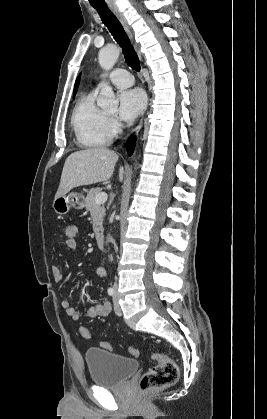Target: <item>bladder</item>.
I'll return each mask as SVG.
<instances>
[{
    "instance_id": "bladder-1",
    "label": "bladder",
    "mask_w": 267,
    "mask_h": 419,
    "mask_svg": "<svg viewBox=\"0 0 267 419\" xmlns=\"http://www.w3.org/2000/svg\"><path fill=\"white\" fill-rule=\"evenodd\" d=\"M85 361L92 383L104 388L123 386L139 369L136 359L97 347L86 351Z\"/></svg>"
}]
</instances>
